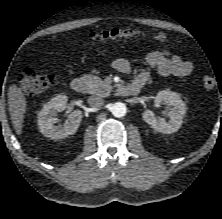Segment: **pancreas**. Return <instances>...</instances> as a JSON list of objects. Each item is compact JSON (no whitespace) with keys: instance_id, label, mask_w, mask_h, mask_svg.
Here are the masks:
<instances>
[{"instance_id":"1","label":"pancreas","mask_w":222,"mask_h":219,"mask_svg":"<svg viewBox=\"0 0 222 219\" xmlns=\"http://www.w3.org/2000/svg\"><path fill=\"white\" fill-rule=\"evenodd\" d=\"M83 79L87 85V92L106 97L112 91V87L95 75H84Z\"/></svg>"}]
</instances>
